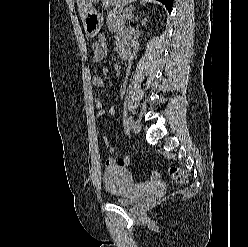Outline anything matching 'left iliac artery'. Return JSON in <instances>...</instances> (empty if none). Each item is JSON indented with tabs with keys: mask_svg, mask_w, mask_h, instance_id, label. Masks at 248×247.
I'll return each instance as SVG.
<instances>
[{
	"mask_svg": "<svg viewBox=\"0 0 248 247\" xmlns=\"http://www.w3.org/2000/svg\"><path fill=\"white\" fill-rule=\"evenodd\" d=\"M130 122H131V119L129 117H126L124 120V129L126 133H128L130 130Z\"/></svg>",
	"mask_w": 248,
	"mask_h": 247,
	"instance_id": "1",
	"label": "left iliac artery"
}]
</instances>
